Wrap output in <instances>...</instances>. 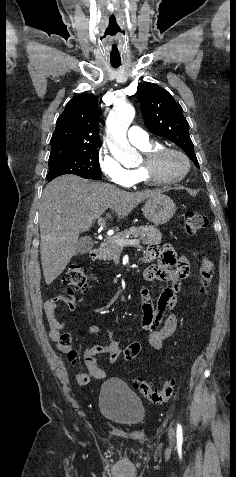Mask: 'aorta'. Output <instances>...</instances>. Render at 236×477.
<instances>
[{
  "mask_svg": "<svg viewBox=\"0 0 236 477\" xmlns=\"http://www.w3.org/2000/svg\"><path fill=\"white\" fill-rule=\"evenodd\" d=\"M135 116V109L130 104L114 106L106 121V138L109 149L122 163L135 160L138 152L127 139V130Z\"/></svg>",
  "mask_w": 236,
  "mask_h": 477,
  "instance_id": "obj_1",
  "label": "aorta"
}]
</instances>
